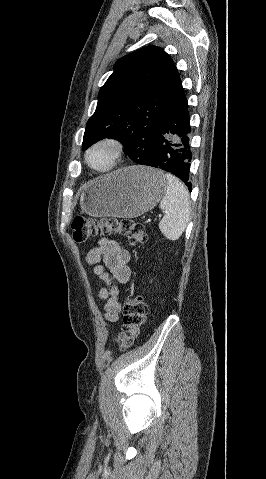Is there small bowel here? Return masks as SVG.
<instances>
[{
	"instance_id": "1",
	"label": "small bowel",
	"mask_w": 266,
	"mask_h": 479,
	"mask_svg": "<svg viewBox=\"0 0 266 479\" xmlns=\"http://www.w3.org/2000/svg\"><path fill=\"white\" fill-rule=\"evenodd\" d=\"M86 260L93 266V273L104 284L99 290V296L105 302L106 319L110 322L118 321L121 311V293L118 285L127 283L131 277L128 251L120 242L102 238L98 246L87 253Z\"/></svg>"
}]
</instances>
